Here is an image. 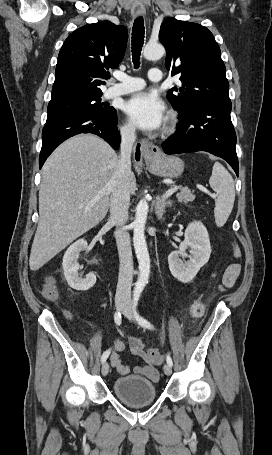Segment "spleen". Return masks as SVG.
I'll list each match as a JSON object with an SVG mask.
<instances>
[{"label":"spleen","instance_id":"3e777b00","mask_svg":"<svg viewBox=\"0 0 272 455\" xmlns=\"http://www.w3.org/2000/svg\"><path fill=\"white\" fill-rule=\"evenodd\" d=\"M209 184L218 195L215 201L214 216L216 225L222 227L233 209L235 200L234 181L225 167L216 162L212 169Z\"/></svg>","mask_w":272,"mask_h":455}]
</instances>
